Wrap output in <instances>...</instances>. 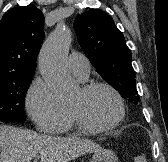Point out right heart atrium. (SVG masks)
Listing matches in <instances>:
<instances>
[{
  "mask_svg": "<svg viewBox=\"0 0 168 162\" xmlns=\"http://www.w3.org/2000/svg\"><path fill=\"white\" fill-rule=\"evenodd\" d=\"M27 112L37 129L44 133H56L69 120V109L62 104L47 82L36 78L25 97Z\"/></svg>",
  "mask_w": 168,
  "mask_h": 162,
  "instance_id": "obj_1",
  "label": "right heart atrium"
}]
</instances>
